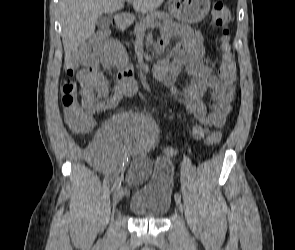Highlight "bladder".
Wrapping results in <instances>:
<instances>
[{"label": "bladder", "mask_w": 295, "mask_h": 250, "mask_svg": "<svg viewBox=\"0 0 295 250\" xmlns=\"http://www.w3.org/2000/svg\"><path fill=\"white\" fill-rule=\"evenodd\" d=\"M152 176L131 192L128 210L138 218L158 220L163 218L172 205V177L169 160L159 159L152 166Z\"/></svg>", "instance_id": "31cf9c89"}]
</instances>
